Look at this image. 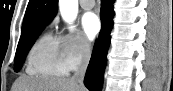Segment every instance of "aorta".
Here are the masks:
<instances>
[{"label": "aorta", "instance_id": "1", "mask_svg": "<svg viewBox=\"0 0 173 91\" xmlns=\"http://www.w3.org/2000/svg\"><path fill=\"white\" fill-rule=\"evenodd\" d=\"M59 9L66 22H73L78 14V0H59Z\"/></svg>", "mask_w": 173, "mask_h": 91}]
</instances>
